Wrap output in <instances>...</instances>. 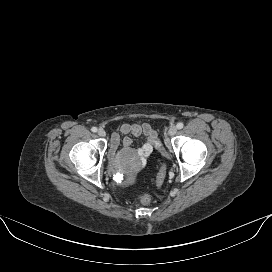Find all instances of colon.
I'll return each mask as SVG.
<instances>
[{
    "label": "colon",
    "mask_w": 272,
    "mask_h": 272,
    "mask_svg": "<svg viewBox=\"0 0 272 272\" xmlns=\"http://www.w3.org/2000/svg\"><path fill=\"white\" fill-rule=\"evenodd\" d=\"M165 173H166V167H165V165H161L159 172L157 174V184L158 185H160L163 182V180L165 178ZM139 200L142 204L148 205L152 201V196L149 193H143L140 195Z\"/></svg>",
    "instance_id": "1"
}]
</instances>
